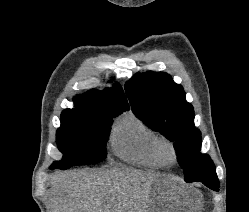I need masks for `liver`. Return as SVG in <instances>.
<instances>
[{"label": "liver", "instance_id": "obj_1", "mask_svg": "<svg viewBox=\"0 0 249 212\" xmlns=\"http://www.w3.org/2000/svg\"><path fill=\"white\" fill-rule=\"evenodd\" d=\"M165 174L133 168L68 170L51 180L54 212H150L151 190Z\"/></svg>", "mask_w": 249, "mask_h": 212}]
</instances>
